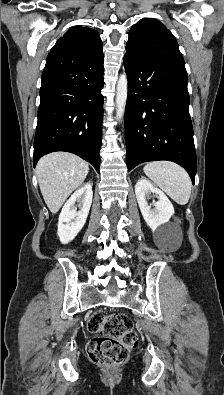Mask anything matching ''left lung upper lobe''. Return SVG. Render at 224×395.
I'll return each mask as SVG.
<instances>
[{"mask_svg":"<svg viewBox=\"0 0 224 395\" xmlns=\"http://www.w3.org/2000/svg\"><path fill=\"white\" fill-rule=\"evenodd\" d=\"M126 49L186 70L175 37L154 18H143L132 26Z\"/></svg>","mask_w":224,"mask_h":395,"instance_id":"1","label":"left lung upper lobe"}]
</instances>
